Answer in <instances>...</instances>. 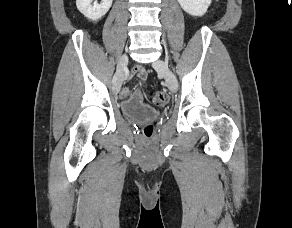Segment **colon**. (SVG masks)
<instances>
[{
  "label": "colon",
  "instance_id": "5ec220e1",
  "mask_svg": "<svg viewBox=\"0 0 292 228\" xmlns=\"http://www.w3.org/2000/svg\"><path fill=\"white\" fill-rule=\"evenodd\" d=\"M150 98H151L152 103L158 107H163L168 102V95L163 91L151 92ZM153 132H154L153 125L148 124V125L144 126L143 133H144L145 137L151 138L153 135Z\"/></svg>",
  "mask_w": 292,
  "mask_h": 228
}]
</instances>
